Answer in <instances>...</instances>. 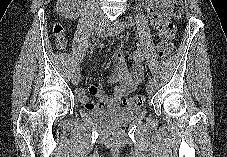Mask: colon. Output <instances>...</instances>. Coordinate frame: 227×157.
<instances>
[{
    "label": "colon",
    "mask_w": 227,
    "mask_h": 157,
    "mask_svg": "<svg viewBox=\"0 0 227 157\" xmlns=\"http://www.w3.org/2000/svg\"><path fill=\"white\" fill-rule=\"evenodd\" d=\"M171 13L175 19H179L183 13V0H171ZM173 26L170 25V31ZM53 35L56 45L63 49L67 45V36L64 27L61 24H55L53 27ZM173 50V43L170 36H165L159 43V55L163 58L168 57ZM146 99L143 95H135L124 100V104L128 106H140L145 103Z\"/></svg>",
    "instance_id": "colon-1"
}]
</instances>
